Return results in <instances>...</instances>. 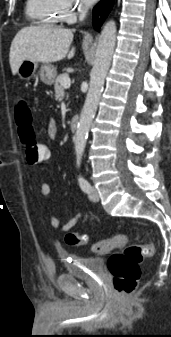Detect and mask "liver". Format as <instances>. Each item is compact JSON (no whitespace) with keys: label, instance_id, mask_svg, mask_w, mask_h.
Listing matches in <instances>:
<instances>
[{"label":"liver","instance_id":"1","mask_svg":"<svg viewBox=\"0 0 171 337\" xmlns=\"http://www.w3.org/2000/svg\"><path fill=\"white\" fill-rule=\"evenodd\" d=\"M73 32L51 26H31L21 29L14 37L9 54V63L13 75L24 60L51 63L64 59H71L75 55V48L70 51Z\"/></svg>","mask_w":171,"mask_h":337}]
</instances>
